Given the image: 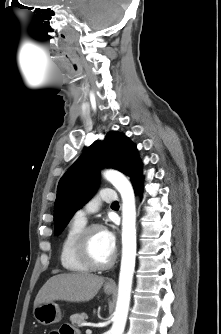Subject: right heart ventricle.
<instances>
[{"instance_id": "1", "label": "right heart ventricle", "mask_w": 221, "mask_h": 334, "mask_svg": "<svg viewBox=\"0 0 221 334\" xmlns=\"http://www.w3.org/2000/svg\"><path fill=\"white\" fill-rule=\"evenodd\" d=\"M86 226V222L73 218L69 223L60 247V262L62 267L71 273H85L89 268L77 256L75 245L78 235Z\"/></svg>"}]
</instances>
